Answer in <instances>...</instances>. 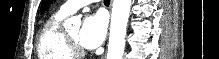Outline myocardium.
<instances>
[{
    "label": "myocardium",
    "mask_w": 219,
    "mask_h": 59,
    "mask_svg": "<svg viewBox=\"0 0 219 59\" xmlns=\"http://www.w3.org/2000/svg\"><path fill=\"white\" fill-rule=\"evenodd\" d=\"M65 37L69 50L72 52L73 55L83 56L86 54V50L77 41H75L67 32H65Z\"/></svg>",
    "instance_id": "f54148a6"
}]
</instances>
